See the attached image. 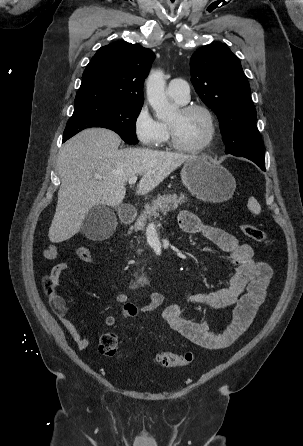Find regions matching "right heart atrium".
I'll return each instance as SVG.
<instances>
[{"label": "right heart atrium", "mask_w": 303, "mask_h": 446, "mask_svg": "<svg viewBox=\"0 0 303 446\" xmlns=\"http://www.w3.org/2000/svg\"><path fill=\"white\" fill-rule=\"evenodd\" d=\"M133 130L138 141L146 147H156L165 138L161 122L152 115L147 103H143L133 118Z\"/></svg>", "instance_id": "obj_1"}]
</instances>
